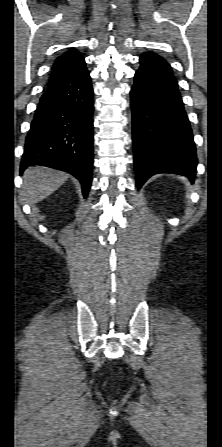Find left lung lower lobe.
Masks as SVG:
<instances>
[{
    "label": "left lung lower lobe",
    "mask_w": 222,
    "mask_h": 447,
    "mask_svg": "<svg viewBox=\"0 0 222 447\" xmlns=\"http://www.w3.org/2000/svg\"><path fill=\"white\" fill-rule=\"evenodd\" d=\"M131 90L134 166L138 188L157 173L194 179L197 157L193 134L170 65L143 53Z\"/></svg>",
    "instance_id": "1"
}]
</instances>
